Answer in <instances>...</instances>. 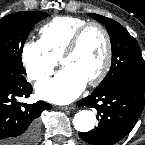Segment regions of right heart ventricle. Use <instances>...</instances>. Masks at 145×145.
Returning a JSON list of instances; mask_svg holds the SVG:
<instances>
[{
	"mask_svg": "<svg viewBox=\"0 0 145 145\" xmlns=\"http://www.w3.org/2000/svg\"><path fill=\"white\" fill-rule=\"evenodd\" d=\"M87 22L88 20L81 17L56 16L40 28V41L46 51L57 59L65 50L73 33Z\"/></svg>",
	"mask_w": 145,
	"mask_h": 145,
	"instance_id": "obj_1",
	"label": "right heart ventricle"
}]
</instances>
